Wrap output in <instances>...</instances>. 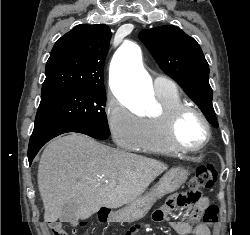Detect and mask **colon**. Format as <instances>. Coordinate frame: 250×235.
Returning a JSON list of instances; mask_svg holds the SVG:
<instances>
[{
    "instance_id": "1",
    "label": "colon",
    "mask_w": 250,
    "mask_h": 235,
    "mask_svg": "<svg viewBox=\"0 0 250 235\" xmlns=\"http://www.w3.org/2000/svg\"><path fill=\"white\" fill-rule=\"evenodd\" d=\"M217 180V174L213 166H201L197 168L195 174L190 180L189 189L181 195L180 201L187 205H195L201 199L203 190L211 189ZM203 222L206 224H215L218 220V208L215 205L205 209ZM49 228L52 235H73L74 230L68 228L59 221L49 222Z\"/></svg>"
}]
</instances>
